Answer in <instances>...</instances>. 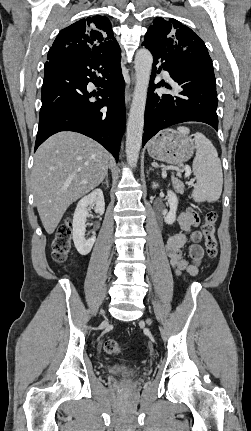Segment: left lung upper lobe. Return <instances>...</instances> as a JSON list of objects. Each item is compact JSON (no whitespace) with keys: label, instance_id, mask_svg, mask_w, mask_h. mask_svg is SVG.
Returning <instances> with one entry per match:
<instances>
[{"label":"left lung upper lobe","instance_id":"5c2ea615","mask_svg":"<svg viewBox=\"0 0 251 431\" xmlns=\"http://www.w3.org/2000/svg\"><path fill=\"white\" fill-rule=\"evenodd\" d=\"M145 42L161 46L166 52L213 67L212 60L204 42L190 28L175 19L156 18L149 27Z\"/></svg>","mask_w":251,"mask_h":431}]
</instances>
